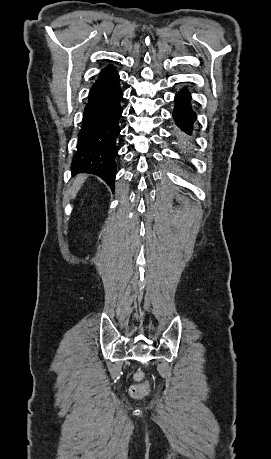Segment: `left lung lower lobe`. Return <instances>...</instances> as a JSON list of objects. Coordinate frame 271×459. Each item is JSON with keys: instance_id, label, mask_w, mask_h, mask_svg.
Masks as SVG:
<instances>
[{"instance_id": "obj_1", "label": "left lung lower lobe", "mask_w": 271, "mask_h": 459, "mask_svg": "<svg viewBox=\"0 0 271 459\" xmlns=\"http://www.w3.org/2000/svg\"><path fill=\"white\" fill-rule=\"evenodd\" d=\"M191 95L187 89H183L175 96V109L173 118L176 125L185 133L191 134L192 125L196 119V114L191 109Z\"/></svg>"}]
</instances>
